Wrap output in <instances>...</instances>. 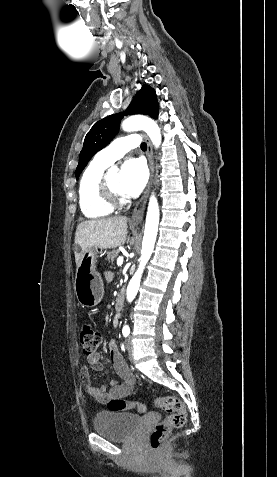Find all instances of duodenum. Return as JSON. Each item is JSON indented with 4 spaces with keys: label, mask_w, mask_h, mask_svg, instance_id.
Listing matches in <instances>:
<instances>
[{
    "label": "duodenum",
    "mask_w": 277,
    "mask_h": 477,
    "mask_svg": "<svg viewBox=\"0 0 277 477\" xmlns=\"http://www.w3.org/2000/svg\"><path fill=\"white\" fill-rule=\"evenodd\" d=\"M124 307V297L122 294H119L115 300V309L116 311L120 312L122 311Z\"/></svg>",
    "instance_id": "1"
}]
</instances>
